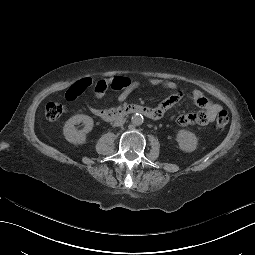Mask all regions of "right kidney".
<instances>
[{
  "mask_svg": "<svg viewBox=\"0 0 255 255\" xmlns=\"http://www.w3.org/2000/svg\"><path fill=\"white\" fill-rule=\"evenodd\" d=\"M83 122L85 128L82 131L77 130L74 125ZM94 121L90 116L77 114L72 116L63 126V135L69 143L74 145H83L87 141L86 133L92 130Z\"/></svg>",
  "mask_w": 255,
  "mask_h": 255,
  "instance_id": "ca27d5eb",
  "label": "right kidney"
}]
</instances>
